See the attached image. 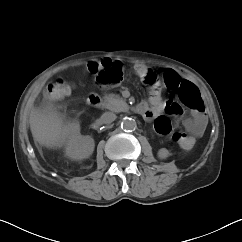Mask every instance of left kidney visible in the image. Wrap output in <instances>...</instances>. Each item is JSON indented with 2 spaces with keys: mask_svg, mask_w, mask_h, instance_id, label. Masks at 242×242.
Instances as JSON below:
<instances>
[{
  "mask_svg": "<svg viewBox=\"0 0 242 242\" xmlns=\"http://www.w3.org/2000/svg\"><path fill=\"white\" fill-rule=\"evenodd\" d=\"M169 155H170L169 151L167 149H165V148H161L158 151V157L160 159H166Z\"/></svg>",
  "mask_w": 242,
  "mask_h": 242,
  "instance_id": "5707ae66",
  "label": "left kidney"
}]
</instances>
